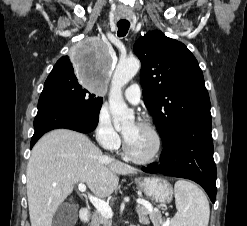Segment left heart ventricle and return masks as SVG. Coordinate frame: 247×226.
Masks as SVG:
<instances>
[{"instance_id":"1","label":"left heart ventricle","mask_w":247,"mask_h":226,"mask_svg":"<svg viewBox=\"0 0 247 226\" xmlns=\"http://www.w3.org/2000/svg\"><path fill=\"white\" fill-rule=\"evenodd\" d=\"M123 135L134 156L147 158L154 153L156 140L147 128L130 123L124 128Z\"/></svg>"}]
</instances>
